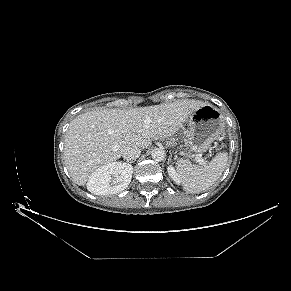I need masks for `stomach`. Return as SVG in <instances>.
<instances>
[{
	"instance_id": "obj_1",
	"label": "stomach",
	"mask_w": 291,
	"mask_h": 291,
	"mask_svg": "<svg viewBox=\"0 0 291 291\" xmlns=\"http://www.w3.org/2000/svg\"><path fill=\"white\" fill-rule=\"evenodd\" d=\"M184 131L186 149L195 153L205 152L224 131V120L220 111L206 104L195 110L187 121Z\"/></svg>"
}]
</instances>
